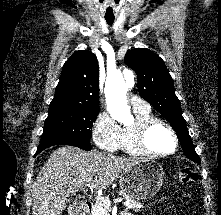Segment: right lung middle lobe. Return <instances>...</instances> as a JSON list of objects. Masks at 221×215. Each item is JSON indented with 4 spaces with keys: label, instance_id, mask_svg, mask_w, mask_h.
<instances>
[{
    "label": "right lung middle lobe",
    "instance_id": "dd1d6c3e",
    "mask_svg": "<svg viewBox=\"0 0 221 215\" xmlns=\"http://www.w3.org/2000/svg\"><path fill=\"white\" fill-rule=\"evenodd\" d=\"M99 110H62L49 113L40 145L90 139Z\"/></svg>",
    "mask_w": 221,
    "mask_h": 215
}]
</instances>
